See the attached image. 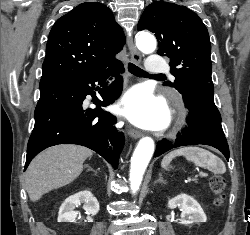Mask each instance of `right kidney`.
Wrapping results in <instances>:
<instances>
[{
  "mask_svg": "<svg viewBox=\"0 0 250 235\" xmlns=\"http://www.w3.org/2000/svg\"><path fill=\"white\" fill-rule=\"evenodd\" d=\"M81 203L86 211L88 221L92 222L91 216L99 211V203L90 191H81L69 196L61 205L58 213V222H75L78 212L74 211Z\"/></svg>",
  "mask_w": 250,
  "mask_h": 235,
  "instance_id": "right-kidney-1",
  "label": "right kidney"
}]
</instances>
